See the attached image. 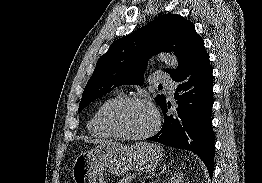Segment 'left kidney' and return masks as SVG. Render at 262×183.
<instances>
[{
	"instance_id": "left-kidney-1",
	"label": "left kidney",
	"mask_w": 262,
	"mask_h": 183,
	"mask_svg": "<svg viewBox=\"0 0 262 183\" xmlns=\"http://www.w3.org/2000/svg\"><path fill=\"white\" fill-rule=\"evenodd\" d=\"M171 183H183V174L177 173L170 179Z\"/></svg>"
}]
</instances>
